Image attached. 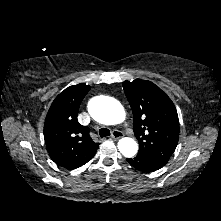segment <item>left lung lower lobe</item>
Listing matches in <instances>:
<instances>
[{
    "label": "left lung lower lobe",
    "mask_w": 221,
    "mask_h": 221,
    "mask_svg": "<svg viewBox=\"0 0 221 221\" xmlns=\"http://www.w3.org/2000/svg\"><path fill=\"white\" fill-rule=\"evenodd\" d=\"M127 161L138 170H141L143 172H154L160 168H162L164 165L156 162L152 159H149L141 154H137L136 157L127 159Z\"/></svg>",
    "instance_id": "obj_1"
}]
</instances>
